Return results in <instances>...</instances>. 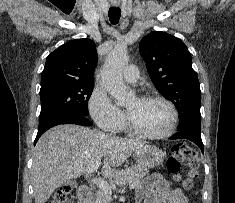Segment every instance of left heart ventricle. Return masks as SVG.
Returning a JSON list of instances; mask_svg holds the SVG:
<instances>
[{
    "label": "left heart ventricle",
    "mask_w": 235,
    "mask_h": 203,
    "mask_svg": "<svg viewBox=\"0 0 235 203\" xmlns=\"http://www.w3.org/2000/svg\"><path fill=\"white\" fill-rule=\"evenodd\" d=\"M126 108L133 124L148 133L165 130L171 117L169 108L158 101L134 98L127 103Z\"/></svg>",
    "instance_id": "left-heart-ventricle-1"
}]
</instances>
